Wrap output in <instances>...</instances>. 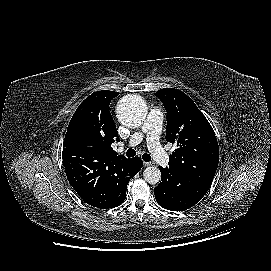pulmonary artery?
Listing matches in <instances>:
<instances>
[{
    "label": "pulmonary artery",
    "instance_id": "e3ab8cb5",
    "mask_svg": "<svg viewBox=\"0 0 271 271\" xmlns=\"http://www.w3.org/2000/svg\"><path fill=\"white\" fill-rule=\"evenodd\" d=\"M163 112L159 108H153L141 126V128L132 134L127 142L128 146H135L143 139H146L147 148L153 159L161 166H166L170 162L169 155L161 147L159 138L162 130ZM121 145L120 149H123Z\"/></svg>",
    "mask_w": 271,
    "mask_h": 271
}]
</instances>
